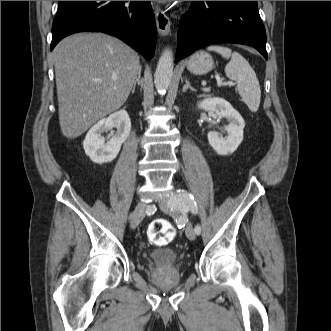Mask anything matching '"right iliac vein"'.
Wrapping results in <instances>:
<instances>
[{
	"label": "right iliac vein",
	"instance_id": "right-iliac-vein-1",
	"mask_svg": "<svg viewBox=\"0 0 331 331\" xmlns=\"http://www.w3.org/2000/svg\"><path fill=\"white\" fill-rule=\"evenodd\" d=\"M145 210H146V203L143 201L138 202L131 220L132 229H135L140 224V222L142 221L145 215Z\"/></svg>",
	"mask_w": 331,
	"mask_h": 331
}]
</instances>
